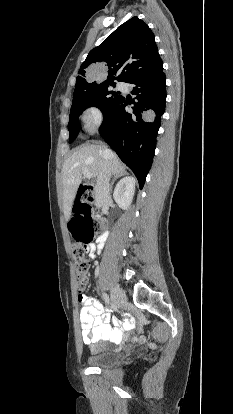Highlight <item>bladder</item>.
<instances>
[{
    "instance_id": "obj_1",
    "label": "bladder",
    "mask_w": 233,
    "mask_h": 414,
    "mask_svg": "<svg viewBox=\"0 0 233 414\" xmlns=\"http://www.w3.org/2000/svg\"><path fill=\"white\" fill-rule=\"evenodd\" d=\"M120 355L113 351H102L87 358V363L91 367L106 368L118 363Z\"/></svg>"
}]
</instances>
